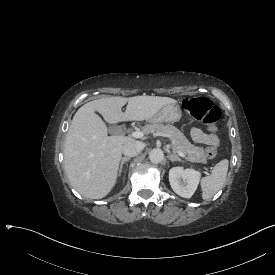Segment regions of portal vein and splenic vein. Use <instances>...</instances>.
<instances>
[{
	"mask_svg": "<svg viewBox=\"0 0 275 275\" xmlns=\"http://www.w3.org/2000/svg\"><path fill=\"white\" fill-rule=\"evenodd\" d=\"M145 132H143V131H135L134 133H133V136L135 137V138H143L144 136H145ZM176 153L178 154V155H180V156H182L183 154H182V152L181 151H176Z\"/></svg>",
	"mask_w": 275,
	"mask_h": 275,
	"instance_id": "18ae733b",
	"label": "portal vein and splenic vein"
}]
</instances>
